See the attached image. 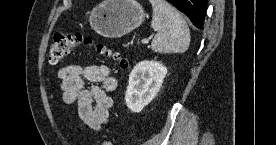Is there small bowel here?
Wrapping results in <instances>:
<instances>
[{
    "mask_svg": "<svg viewBox=\"0 0 276 145\" xmlns=\"http://www.w3.org/2000/svg\"><path fill=\"white\" fill-rule=\"evenodd\" d=\"M62 99L76 104L81 125L99 131L107 124L113 101L109 92L117 88V79L106 65L70 64L59 73Z\"/></svg>",
    "mask_w": 276,
    "mask_h": 145,
    "instance_id": "1",
    "label": "small bowel"
}]
</instances>
